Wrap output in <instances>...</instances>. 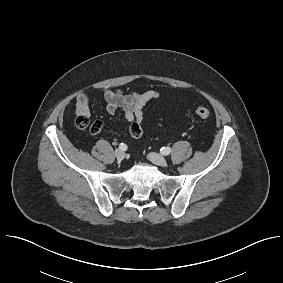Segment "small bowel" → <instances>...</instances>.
Returning <instances> with one entry per match:
<instances>
[{
    "label": "small bowel",
    "instance_id": "obj_1",
    "mask_svg": "<svg viewBox=\"0 0 283 283\" xmlns=\"http://www.w3.org/2000/svg\"><path fill=\"white\" fill-rule=\"evenodd\" d=\"M106 103V110L109 114L120 111L130 123L129 133L134 138L143 135V108L151 100L157 99L159 93L155 90L145 92H125L122 89L107 88L102 91ZM91 96L88 93H80L76 97L75 111L77 115H90Z\"/></svg>",
    "mask_w": 283,
    "mask_h": 283
}]
</instances>
